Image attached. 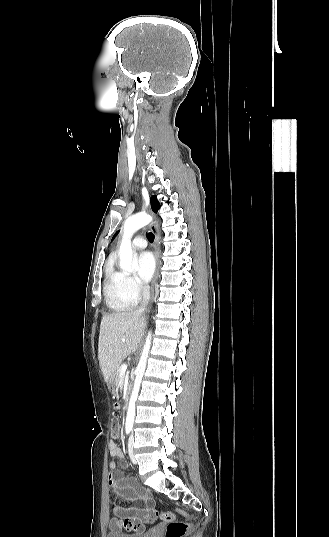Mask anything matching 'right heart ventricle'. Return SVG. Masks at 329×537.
<instances>
[{
  "instance_id": "obj_1",
  "label": "right heart ventricle",
  "mask_w": 329,
  "mask_h": 537,
  "mask_svg": "<svg viewBox=\"0 0 329 537\" xmlns=\"http://www.w3.org/2000/svg\"><path fill=\"white\" fill-rule=\"evenodd\" d=\"M122 275L112 265L107 267L104 294L108 307L114 312L124 311L136 304L125 294L122 288Z\"/></svg>"
}]
</instances>
